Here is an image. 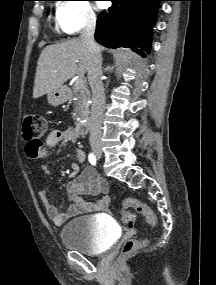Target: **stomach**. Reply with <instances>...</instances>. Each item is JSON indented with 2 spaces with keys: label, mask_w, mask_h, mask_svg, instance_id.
<instances>
[{
  "label": "stomach",
  "mask_w": 216,
  "mask_h": 285,
  "mask_svg": "<svg viewBox=\"0 0 216 285\" xmlns=\"http://www.w3.org/2000/svg\"><path fill=\"white\" fill-rule=\"evenodd\" d=\"M48 103L52 106L63 104L68 99V90L62 86L47 94Z\"/></svg>",
  "instance_id": "0dacf381"
}]
</instances>
